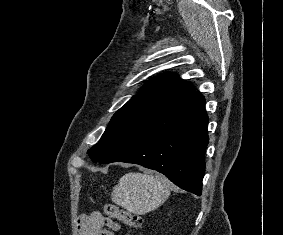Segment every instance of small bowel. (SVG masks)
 Wrapping results in <instances>:
<instances>
[{
  "mask_svg": "<svg viewBox=\"0 0 283 235\" xmlns=\"http://www.w3.org/2000/svg\"><path fill=\"white\" fill-rule=\"evenodd\" d=\"M78 223L83 235H115V232L120 229L117 222L105 218L99 212H93L89 216H81Z\"/></svg>",
  "mask_w": 283,
  "mask_h": 235,
  "instance_id": "small-bowel-1",
  "label": "small bowel"
}]
</instances>
